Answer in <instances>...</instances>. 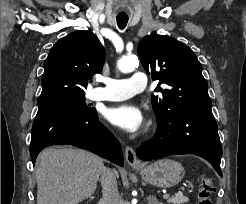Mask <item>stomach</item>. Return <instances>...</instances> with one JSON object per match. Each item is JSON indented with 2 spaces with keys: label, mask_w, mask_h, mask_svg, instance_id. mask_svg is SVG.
<instances>
[{
  "label": "stomach",
  "mask_w": 246,
  "mask_h": 204,
  "mask_svg": "<svg viewBox=\"0 0 246 204\" xmlns=\"http://www.w3.org/2000/svg\"><path fill=\"white\" fill-rule=\"evenodd\" d=\"M136 170L144 182L162 188L177 185L185 175L182 164L171 159H161Z\"/></svg>",
  "instance_id": "0dacf381"
}]
</instances>
